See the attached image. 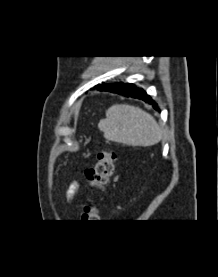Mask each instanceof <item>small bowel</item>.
Wrapping results in <instances>:
<instances>
[{
	"instance_id": "small-bowel-1",
	"label": "small bowel",
	"mask_w": 218,
	"mask_h": 277,
	"mask_svg": "<svg viewBox=\"0 0 218 277\" xmlns=\"http://www.w3.org/2000/svg\"><path fill=\"white\" fill-rule=\"evenodd\" d=\"M80 184L79 182H73L68 190H67V198L68 200H72L74 199V197L76 196L78 190H79Z\"/></svg>"
}]
</instances>
